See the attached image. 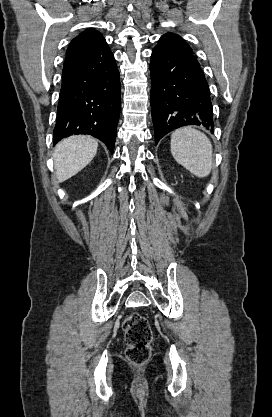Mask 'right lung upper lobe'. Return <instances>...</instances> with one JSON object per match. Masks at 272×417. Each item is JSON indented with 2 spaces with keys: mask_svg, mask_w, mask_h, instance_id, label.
<instances>
[{
  "mask_svg": "<svg viewBox=\"0 0 272 417\" xmlns=\"http://www.w3.org/2000/svg\"><path fill=\"white\" fill-rule=\"evenodd\" d=\"M104 42L105 39L98 31L86 30L71 41L66 52V59L86 56Z\"/></svg>",
  "mask_w": 272,
  "mask_h": 417,
  "instance_id": "obj_1",
  "label": "right lung upper lobe"
}]
</instances>
